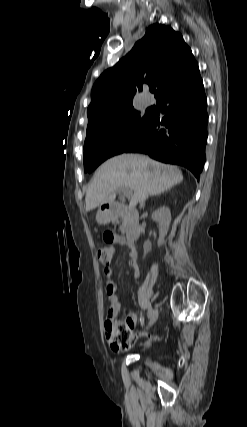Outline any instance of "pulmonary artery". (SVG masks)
Masks as SVG:
<instances>
[{"label": "pulmonary artery", "mask_w": 247, "mask_h": 427, "mask_svg": "<svg viewBox=\"0 0 247 427\" xmlns=\"http://www.w3.org/2000/svg\"><path fill=\"white\" fill-rule=\"evenodd\" d=\"M145 103H146V105H150V102H149V101H146Z\"/></svg>", "instance_id": "pulmonary-artery-1"}]
</instances>
